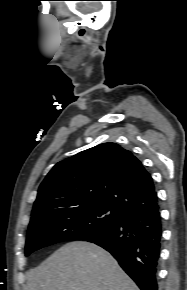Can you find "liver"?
Returning <instances> with one entry per match:
<instances>
[{"label":"liver","mask_w":187,"mask_h":290,"mask_svg":"<svg viewBox=\"0 0 187 290\" xmlns=\"http://www.w3.org/2000/svg\"><path fill=\"white\" fill-rule=\"evenodd\" d=\"M26 290H140L110 253L84 241L70 242L32 269Z\"/></svg>","instance_id":"6515ba94"}]
</instances>
